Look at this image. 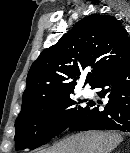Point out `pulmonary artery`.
Here are the masks:
<instances>
[{"mask_svg": "<svg viewBox=\"0 0 130 153\" xmlns=\"http://www.w3.org/2000/svg\"><path fill=\"white\" fill-rule=\"evenodd\" d=\"M82 94L85 98H91L93 96V93L90 89H84Z\"/></svg>", "mask_w": 130, "mask_h": 153, "instance_id": "obj_1", "label": "pulmonary artery"}]
</instances>
